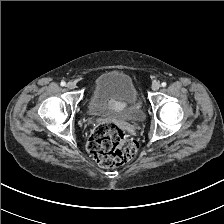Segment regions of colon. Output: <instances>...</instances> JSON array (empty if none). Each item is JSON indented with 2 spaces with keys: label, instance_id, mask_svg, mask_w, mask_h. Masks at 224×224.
Wrapping results in <instances>:
<instances>
[{
  "label": "colon",
  "instance_id": "obj_1",
  "mask_svg": "<svg viewBox=\"0 0 224 224\" xmlns=\"http://www.w3.org/2000/svg\"><path fill=\"white\" fill-rule=\"evenodd\" d=\"M87 149L97 164L113 168L129 162L136 155L138 145L117 124L100 122L92 131Z\"/></svg>",
  "mask_w": 224,
  "mask_h": 224
}]
</instances>
